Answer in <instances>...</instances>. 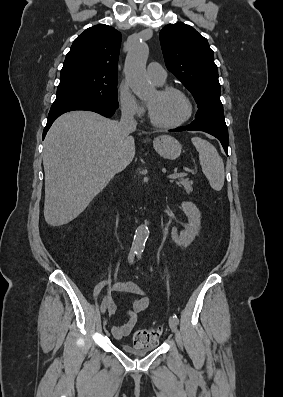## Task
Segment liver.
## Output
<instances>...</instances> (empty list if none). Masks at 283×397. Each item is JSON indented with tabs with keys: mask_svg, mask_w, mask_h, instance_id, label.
I'll list each match as a JSON object with an SVG mask.
<instances>
[{
	"mask_svg": "<svg viewBox=\"0 0 283 397\" xmlns=\"http://www.w3.org/2000/svg\"><path fill=\"white\" fill-rule=\"evenodd\" d=\"M135 156V143L119 123L91 111H71L44 141V218L53 227L80 215Z\"/></svg>",
	"mask_w": 283,
	"mask_h": 397,
	"instance_id": "obj_1",
	"label": "liver"
}]
</instances>
